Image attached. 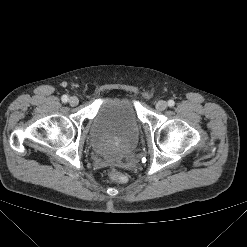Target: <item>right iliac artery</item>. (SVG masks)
<instances>
[{
	"instance_id": "82829eb1",
	"label": "right iliac artery",
	"mask_w": 247,
	"mask_h": 247,
	"mask_svg": "<svg viewBox=\"0 0 247 247\" xmlns=\"http://www.w3.org/2000/svg\"><path fill=\"white\" fill-rule=\"evenodd\" d=\"M61 99L64 103H66L69 100L67 95H63Z\"/></svg>"
}]
</instances>
